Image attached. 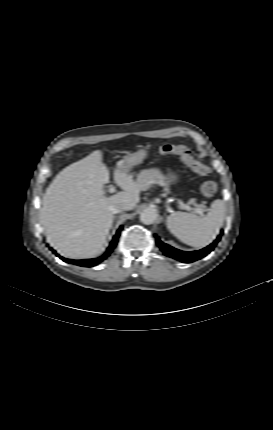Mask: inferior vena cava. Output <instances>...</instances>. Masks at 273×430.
I'll list each match as a JSON object with an SVG mask.
<instances>
[{"mask_svg":"<svg viewBox=\"0 0 273 430\" xmlns=\"http://www.w3.org/2000/svg\"><path fill=\"white\" fill-rule=\"evenodd\" d=\"M109 210L111 211L112 214H117V213H120L122 211L127 210V206L122 202H117V203L111 205L109 207Z\"/></svg>","mask_w":273,"mask_h":430,"instance_id":"602c4592","label":"inferior vena cava"}]
</instances>
